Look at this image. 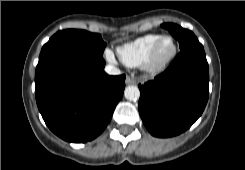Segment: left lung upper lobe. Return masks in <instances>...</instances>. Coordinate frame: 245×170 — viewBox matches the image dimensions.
<instances>
[{
  "label": "left lung upper lobe",
  "mask_w": 245,
  "mask_h": 170,
  "mask_svg": "<svg viewBox=\"0 0 245 170\" xmlns=\"http://www.w3.org/2000/svg\"><path fill=\"white\" fill-rule=\"evenodd\" d=\"M161 27L167 29L179 41L181 51H193L205 54L202 44L190 30L183 29L173 23H164Z\"/></svg>",
  "instance_id": "obj_1"
}]
</instances>
